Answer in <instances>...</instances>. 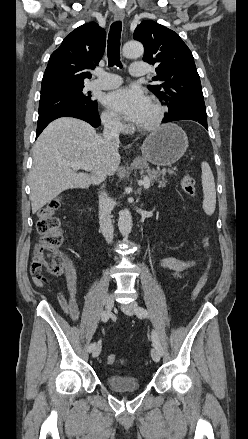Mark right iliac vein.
<instances>
[{
	"label": "right iliac vein",
	"mask_w": 248,
	"mask_h": 439,
	"mask_svg": "<svg viewBox=\"0 0 248 439\" xmlns=\"http://www.w3.org/2000/svg\"><path fill=\"white\" fill-rule=\"evenodd\" d=\"M105 305H106V309L108 310V312H111L112 309H113V307H114V298H113V295H108V296H107V298H106V302H105ZM100 352H101V344H97V345L95 346V348L92 350V357H93V358L98 357L99 354H100Z\"/></svg>",
	"instance_id": "63e3f726"
}]
</instances>
